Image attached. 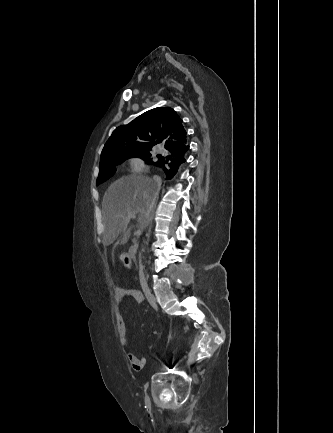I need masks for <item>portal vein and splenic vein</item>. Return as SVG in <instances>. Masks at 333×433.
Returning <instances> with one entry per match:
<instances>
[{
	"label": "portal vein and splenic vein",
	"instance_id": "obj_1",
	"mask_svg": "<svg viewBox=\"0 0 333 433\" xmlns=\"http://www.w3.org/2000/svg\"><path fill=\"white\" fill-rule=\"evenodd\" d=\"M132 219H136V213L134 212H131L127 215V217L125 218V222L129 223ZM135 235L139 237L141 235V231L140 230L135 231ZM134 246H138V243L135 242Z\"/></svg>",
	"mask_w": 333,
	"mask_h": 433
}]
</instances>
